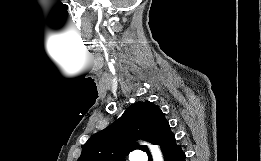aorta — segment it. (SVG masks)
I'll return each instance as SVG.
<instances>
[{
	"label": "aorta",
	"instance_id": "1",
	"mask_svg": "<svg viewBox=\"0 0 261 161\" xmlns=\"http://www.w3.org/2000/svg\"><path fill=\"white\" fill-rule=\"evenodd\" d=\"M149 149L153 156V161H163L162 153L158 146L149 145Z\"/></svg>",
	"mask_w": 261,
	"mask_h": 161
}]
</instances>
